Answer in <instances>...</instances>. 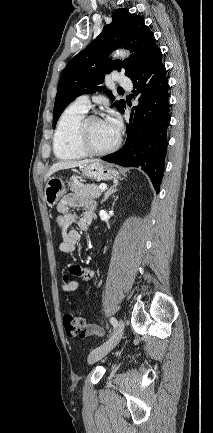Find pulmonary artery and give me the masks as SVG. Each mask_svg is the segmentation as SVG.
I'll return each mask as SVG.
<instances>
[{"instance_id":"obj_1","label":"pulmonary artery","mask_w":213,"mask_h":433,"mask_svg":"<svg viewBox=\"0 0 213 433\" xmlns=\"http://www.w3.org/2000/svg\"><path fill=\"white\" fill-rule=\"evenodd\" d=\"M117 82L120 86L125 87L127 89H130L132 87V82L129 78H127L124 75H119L117 77ZM74 104H76L77 106H79L80 108L84 109V110H88V108L90 107V100H89V95H81L79 96Z\"/></svg>"}]
</instances>
